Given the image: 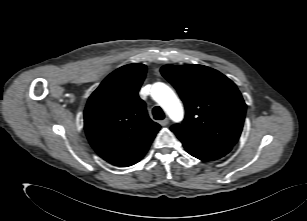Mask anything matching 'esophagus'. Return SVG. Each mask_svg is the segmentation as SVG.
Listing matches in <instances>:
<instances>
[{
	"instance_id": "esophagus-1",
	"label": "esophagus",
	"mask_w": 307,
	"mask_h": 221,
	"mask_svg": "<svg viewBox=\"0 0 307 221\" xmlns=\"http://www.w3.org/2000/svg\"><path fill=\"white\" fill-rule=\"evenodd\" d=\"M169 124V119L168 118H165L163 120L160 121V125L161 126H166Z\"/></svg>"
}]
</instances>
